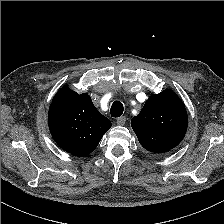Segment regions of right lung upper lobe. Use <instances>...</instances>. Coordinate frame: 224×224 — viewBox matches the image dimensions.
Instances as JSON below:
<instances>
[{"label": "right lung upper lobe", "instance_id": "right-lung-upper-lobe-1", "mask_svg": "<svg viewBox=\"0 0 224 224\" xmlns=\"http://www.w3.org/2000/svg\"><path fill=\"white\" fill-rule=\"evenodd\" d=\"M48 125L63 150L85 156L98 146L111 122L95 108L87 93L78 94L65 86L52 100Z\"/></svg>", "mask_w": 224, "mask_h": 224}]
</instances>
